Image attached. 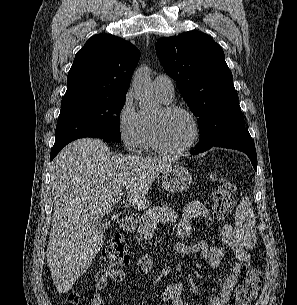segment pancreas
Returning a JSON list of instances; mask_svg holds the SVG:
<instances>
[{"label": "pancreas", "mask_w": 297, "mask_h": 305, "mask_svg": "<svg viewBox=\"0 0 297 305\" xmlns=\"http://www.w3.org/2000/svg\"><path fill=\"white\" fill-rule=\"evenodd\" d=\"M176 219L177 213L167 203L153 207L141 216L138 234L141 239L149 240L158 223L174 222Z\"/></svg>", "instance_id": "pancreas-1"}]
</instances>
